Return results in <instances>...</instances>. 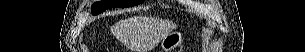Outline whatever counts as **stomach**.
Segmentation results:
<instances>
[{"label": "stomach", "instance_id": "0dacf381", "mask_svg": "<svg viewBox=\"0 0 305 52\" xmlns=\"http://www.w3.org/2000/svg\"><path fill=\"white\" fill-rule=\"evenodd\" d=\"M183 38V33L181 31L174 30L160 41L159 50L161 52H172L174 49L180 46Z\"/></svg>", "mask_w": 305, "mask_h": 52}]
</instances>
